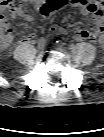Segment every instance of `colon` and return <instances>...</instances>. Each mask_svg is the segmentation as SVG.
Returning <instances> with one entry per match:
<instances>
[{
    "instance_id": "obj_1",
    "label": "colon",
    "mask_w": 104,
    "mask_h": 137,
    "mask_svg": "<svg viewBox=\"0 0 104 137\" xmlns=\"http://www.w3.org/2000/svg\"><path fill=\"white\" fill-rule=\"evenodd\" d=\"M100 3V0H97ZM68 0H5L2 6V17L0 20L1 35L12 32L10 25L6 22V14H15L27 10L30 7H37L42 15H50L59 7L65 5Z\"/></svg>"
}]
</instances>
